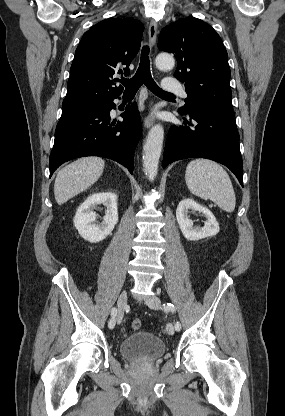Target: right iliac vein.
Masks as SVG:
<instances>
[{
  "instance_id": "obj_1",
  "label": "right iliac vein",
  "mask_w": 285,
  "mask_h": 416,
  "mask_svg": "<svg viewBox=\"0 0 285 416\" xmlns=\"http://www.w3.org/2000/svg\"><path fill=\"white\" fill-rule=\"evenodd\" d=\"M127 305V292L123 291L118 300H117V306H118V312H117V323L120 324L124 317V310L125 306Z\"/></svg>"
}]
</instances>
